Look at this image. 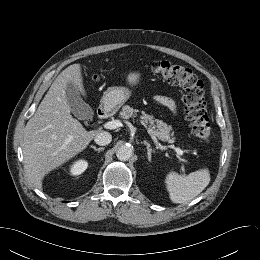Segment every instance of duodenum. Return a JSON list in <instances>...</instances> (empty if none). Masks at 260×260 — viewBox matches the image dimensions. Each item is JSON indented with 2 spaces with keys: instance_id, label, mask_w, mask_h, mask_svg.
<instances>
[{
  "instance_id": "410a0bca",
  "label": "duodenum",
  "mask_w": 260,
  "mask_h": 260,
  "mask_svg": "<svg viewBox=\"0 0 260 260\" xmlns=\"http://www.w3.org/2000/svg\"><path fill=\"white\" fill-rule=\"evenodd\" d=\"M108 112H109V107L107 105H103L98 108L97 116L98 118L103 119L108 115Z\"/></svg>"
}]
</instances>
